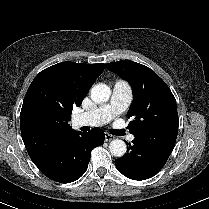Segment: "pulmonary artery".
<instances>
[{
  "label": "pulmonary artery",
  "instance_id": "1",
  "mask_svg": "<svg viewBox=\"0 0 209 209\" xmlns=\"http://www.w3.org/2000/svg\"><path fill=\"white\" fill-rule=\"evenodd\" d=\"M130 98L131 90L128 83L118 80L113 85L110 101L94 111L77 115L75 118L76 125L90 127L103 125L124 111L129 105ZM134 138V135L128 137L130 141Z\"/></svg>",
  "mask_w": 209,
  "mask_h": 209
}]
</instances>
